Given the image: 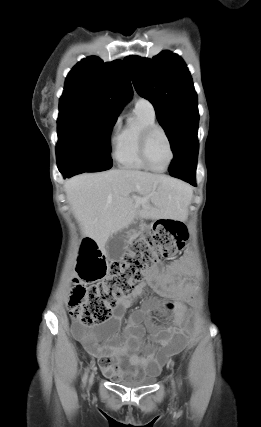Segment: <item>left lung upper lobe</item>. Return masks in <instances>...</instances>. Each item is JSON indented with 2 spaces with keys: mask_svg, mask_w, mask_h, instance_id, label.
<instances>
[{
  "mask_svg": "<svg viewBox=\"0 0 261 427\" xmlns=\"http://www.w3.org/2000/svg\"><path fill=\"white\" fill-rule=\"evenodd\" d=\"M124 62L138 94L153 104L175 154L199 123L197 94L186 64L169 51L153 59L128 56Z\"/></svg>",
  "mask_w": 261,
  "mask_h": 427,
  "instance_id": "5c2ea615",
  "label": "left lung upper lobe"
}]
</instances>
